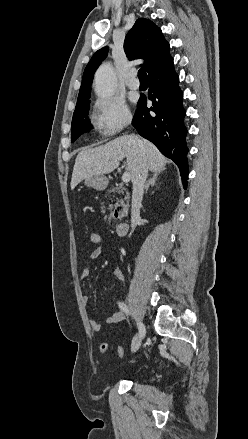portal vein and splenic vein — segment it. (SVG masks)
<instances>
[{
    "instance_id": "1",
    "label": "portal vein and splenic vein",
    "mask_w": 248,
    "mask_h": 439,
    "mask_svg": "<svg viewBox=\"0 0 248 439\" xmlns=\"http://www.w3.org/2000/svg\"><path fill=\"white\" fill-rule=\"evenodd\" d=\"M130 179H131L130 172H128V171L124 172L122 175V181L124 183H128L130 181Z\"/></svg>"
}]
</instances>
